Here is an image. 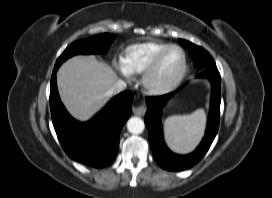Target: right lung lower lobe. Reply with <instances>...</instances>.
<instances>
[{
    "label": "right lung lower lobe",
    "mask_w": 272,
    "mask_h": 198,
    "mask_svg": "<svg viewBox=\"0 0 272 198\" xmlns=\"http://www.w3.org/2000/svg\"><path fill=\"white\" fill-rule=\"evenodd\" d=\"M54 67L50 84V108L54 129L65 152L74 160L96 168L108 166L116 157L119 135L131 115L133 94L124 91L91 121L74 120L60 101Z\"/></svg>",
    "instance_id": "98d812e1"
}]
</instances>
